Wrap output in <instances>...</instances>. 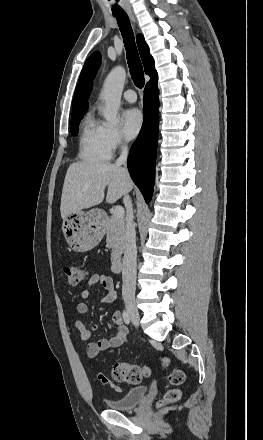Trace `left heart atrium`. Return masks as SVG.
Listing matches in <instances>:
<instances>
[{"instance_id":"obj_1","label":"left heart atrium","mask_w":263,"mask_h":440,"mask_svg":"<svg viewBox=\"0 0 263 440\" xmlns=\"http://www.w3.org/2000/svg\"><path fill=\"white\" fill-rule=\"evenodd\" d=\"M122 125L124 134L128 138H134L140 132L143 125V115L137 108H130L122 115Z\"/></svg>"}]
</instances>
